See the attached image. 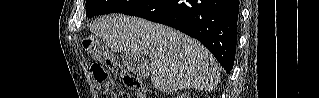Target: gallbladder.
I'll list each match as a JSON object with an SVG mask.
<instances>
[{
  "label": "gallbladder",
  "instance_id": "obj_1",
  "mask_svg": "<svg viewBox=\"0 0 319 98\" xmlns=\"http://www.w3.org/2000/svg\"><path fill=\"white\" fill-rule=\"evenodd\" d=\"M122 63L131 72H139V60L130 53L123 52L121 54Z\"/></svg>",
  "mask_w": 319,
  "mask_h": 98
}]
</instances>
